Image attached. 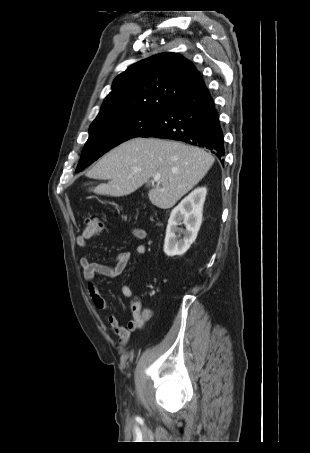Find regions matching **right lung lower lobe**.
Segmentation results:
<instances>
[{"mask_svg":"<svg viewBox=\"0 0 310 453\" xmlns=\"http://www.w3.org/2000/svg\"><path fill=\"white\" fill-rule=\"evenodd\" d=\"M138 137L183 141L211 150L221 162L225 154L219 115L204 81L163 110Z\"/></svg>","mask_w":310,"mask_h":453,"instance_id":"1","label":"right lung lower lobe"}]
</instances>
